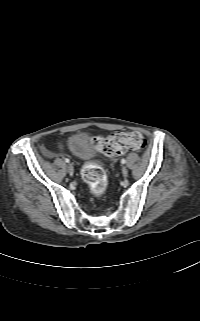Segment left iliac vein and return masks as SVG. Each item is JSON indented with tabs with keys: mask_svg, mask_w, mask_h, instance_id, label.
<instances>
[{
	"mask_svg": "<svg viewBox=\"0 0 200 321\" xmlns=\"http://www.w3.org/2000/svg\"><path fill=\"white\" fill-rule=\"evenodd\" d=\"M122 174L125 178L128 176V170L125 166L122 167Z\"/></svg>",
	"mask_w": 200,
	"mask_h": 321,
	"instance_id": "left-iliac-vein-1",
	"label": "left iliac vein"
}]
</instances>
